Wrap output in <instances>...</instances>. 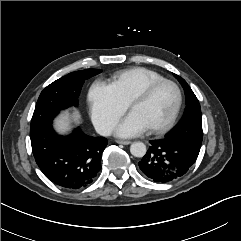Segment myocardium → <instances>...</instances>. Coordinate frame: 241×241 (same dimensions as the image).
<instances>
[{
	"label": "myocardium",
	"mask_w": 241,
	"mask_h": 241,
	"mask_svg": "<svg viewBox=\"0 0 241 241\" xmlns=\"http://www.w3.org/2000/svg\"><path fill=\"white\" fill-rule=\"evenodd\" d=\"M165 84H169L174 87V89L176 90V93H177V102H176V106H175L172 116L165 124H163L161 126L149 128L151 132L157 133V134H162V133L169 131L175 125V123L178 119V116L181 111L182 103H183V95H182V91H181L179 85L177 83H175L174 81L168 80V79L154 81V82L148 84L146 87H144L129 102V109L132 110L134 105H136L137 103L146 101L158 87L165 85Z\"/></svg>",
	"instance_id": "obj_1"
}]
</instances>
